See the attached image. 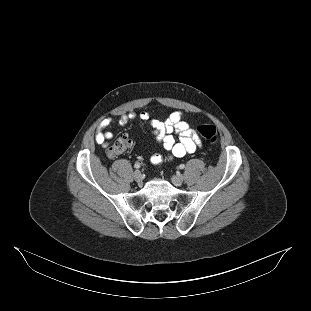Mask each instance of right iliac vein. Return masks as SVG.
I'll list each match as a JSON object with an SVG mask.
<instances>
[{"label": "right iliac vein", "mask_w": 311, "mask_h": 311, "mask_svg": "<svg viewBox=\"0 0 311 311\" xmlns=\"http://www.w3.org/2000/svg\"><path fill=\"white\" fill-rule=\"evenodd\" d=\"M134 180L138 183L142 181V174L139 170H136L133 174Z\"/></svg>", "instance_id": "1"}]
</instances>
